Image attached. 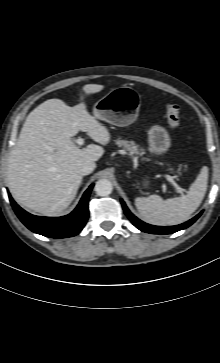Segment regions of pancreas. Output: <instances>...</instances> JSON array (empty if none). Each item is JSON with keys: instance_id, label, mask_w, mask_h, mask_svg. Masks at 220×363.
I'll list each match as a JSON object with an SVG mask.
<instances>
[{"instance_id": "pancreas-1", "label": "pancreas", "mask_w": 220, "mask_h": 363, "mask_svg": "<svg viewBox=\"0 0 220 363\" xmlns=\"http://www.w3.org/2000/svg\"><path fill=\"white\" fill-rule=\"evenodd\" d=\"M116 144L119 147H123L124 149L128 150L130 152V154H136V155H143L144 154V150L139 149V147L137 145H135L133 142L117 139Z\"/></svg>"}]
</instances>
